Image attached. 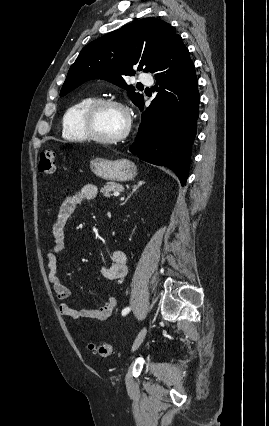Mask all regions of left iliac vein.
Returning <instances> with one entry per match:
<instances>
[{"instance_id": "left-iliac-vein-1", "label": "left iliac vein", "mask_w": 269, "mask_h": 426, "mask_svg": "<svg viewBox=\"0 0 269 426\" xmlns=\"http://www.w3.org/2000/svg\"><path fill=\"white\" fill-rule=\"evenodd\" d=\"M146 333H147V327L144 326L141 329V331L139 332L137 338L135 339V341H134V343L132 345V351L133 352L136 351L139 348V346L141 345V343L143 342V340H144V338L146 336Z\"/></svg>"}]
</instances>
